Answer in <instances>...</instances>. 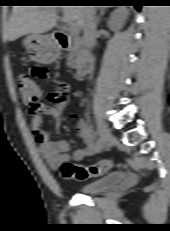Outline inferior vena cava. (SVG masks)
<instances>
[{
	"label": "inferior vena cava",
	"instance_id": "obj_1",
	"mask_svg": "<svg viewBox=\"0 0 170 231\" xmlns=\"http://www.w3.org/2000/svg\"><path fill=\"white\" fill-rule=\"evenodd\" d=\"M95 6L83 7V32L86 43L93 47L95 45L96 19Z\"/></svg>",
	"mask_w": 170,
	"mask_h": 231
}]
</instances>
